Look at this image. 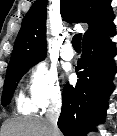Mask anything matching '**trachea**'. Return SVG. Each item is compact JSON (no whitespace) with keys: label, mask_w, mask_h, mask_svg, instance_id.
Returning a JSON list of instances; mask_svg holds the SVG:
<instances>
[{"label":"trachea","mask_w":117,"mask_h":136,"mask_svg":"<svg viewBox=\"0 0 117 136\" xmlns=\"http://www.w3.org/2000/svg\"><path fill=\"white\" fill-rule=\"evenodd\" d=\"M82 35L80 33L75 34L72 39V45L75 50H81Z\"/></svg>","instance_id":"3493384b"}]
</instances>
